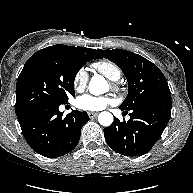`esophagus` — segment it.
I'll return each mask as SVG.
<instances>
[{"label":"esophagus","instance_id":"1","mask_svg":"<svg viewBox=\"0 0 193 193\" xmlns=\"http://www.w3.org/2000/svg\"><path fill=\"white\" fill-rule=\"evenodd\" d=\"M97 115H98V112H89L88 113V116L90 119L97 117Z\"/></svg>","mask_w":193,"mask_h":193}]
</instances>
